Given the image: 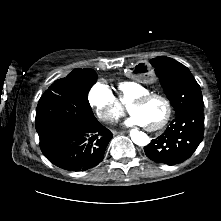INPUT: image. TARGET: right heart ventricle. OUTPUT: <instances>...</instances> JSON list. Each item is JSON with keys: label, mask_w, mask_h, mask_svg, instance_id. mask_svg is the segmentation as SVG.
<instances>
[{"label": "right heart ventricle", "mask_w": 221, "mask_h": 221, "mask_svg": "<svg viewBox=\"0 0 221 221\" xmlns=\"http://www.w3.org/2000/svg\"><path fill=\"white\" fill-rule=\"evenodd\" d=\"M118 99L122 104H130L135 98L150 93V90L143 84L133 81L126 80L119 82L117 85Z\"/></svg>", "instance_id": "e07e8e85"}]
</instances>
